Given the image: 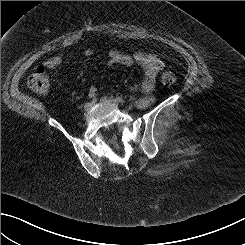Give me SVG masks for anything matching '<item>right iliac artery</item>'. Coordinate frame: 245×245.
Wrapping results in <instances>:
<instances>
[{"mask_svg": "<svg viewBox=\"0 0 245 245\" xmlns=\"http://www.w3.org/2000/svg\"><path fill=\"white\" fill-rule=\"evenodd\" d=\"M97 101V98L95 96L92 97V104H94Z\"/></svg>", "mask_w": 245, "mask_h": 245, "instance_id": "obj_1", "label": "right iliac artery"}]
</instances>
